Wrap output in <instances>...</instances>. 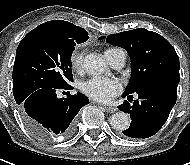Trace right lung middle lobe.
I'll use <instances>...</instances> for the list:
<instances>
[{"label":"right lung middle lobe","mask_w":190,"mask_h":165,"mask_svg":"<svg viewBox=\"0 0 190 165\" xmlns=\"http://www.w3.org/2000/svg\"><path fill=\"white\" fill-rule=\"evenodd\" d=\"M88 34L70 35L61 28L39 25L20 42L13 70L16 103L41 88L65 87L73 82L71 56Z\"/></svg>","instance_id":"right-lung-middle-lobe-1"}]
</instances>
